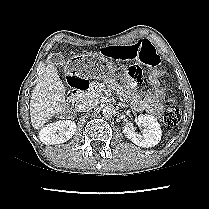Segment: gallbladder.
Returning a JSON list of instances; mask_svg holds the SVG:
<instances>
[{"instance_id":"gallbladder-1","label":"gallbladder","mask_w":209,"mask_h":209,"mask_svg":"<svg viewBox=\"0 0 209 209\" xmlns=\"http://www.w3.org/2000/svg\"><path fill=\"white\" fill-rule=\"evenodd\" d=\"M50 59L56 65H64L65 64V59L60 53L51 54Z\"/></svg>"}]
</instances>
